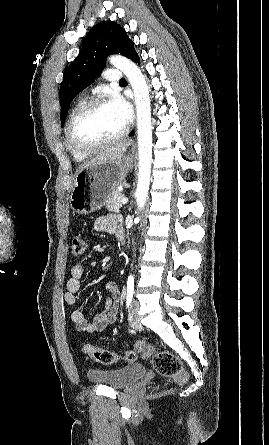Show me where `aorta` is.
<instances>
[{
  "label": "aorta",
  "mask_w": 269,
  "mask_h": 445,
  "mask_svg": "<svg viewBox=\"0 0 269 445\" xmlns=\"http://www.w3.org/2000/svg\"><path fill=\"white\" fill-rule=\"evenodd\" d=\"M109 61L126 75L134 92L139 154L138 184L135 196L138 208L142 209L148 197L152 163V125L149 89L145 77L135 63L120 55L111 56Z\"/></svg>",
  "instance_id": "obj_1"
}]
</instances>
